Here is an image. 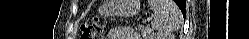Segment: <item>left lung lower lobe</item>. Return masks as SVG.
I'll use <instances>...</instances> for the list:
<instances>
[{
	"label": "left lung lower lobe",
	"instance_id": "1",
	"mask_svg": "<svg viewBox=\"0 0 249 39\" xmlns=\"http://www.w3.org/2000/svg\"><path fill=\"white\" fill-rule=\"evenodd\" d=\"M175 2L177 4H179V2H183V6H180V9H181L182 13H184L185 12V1L184 0H175Z\"/></svg>",
	"mask_w": 249,
	"mask_h": 39
}]
</instances>
